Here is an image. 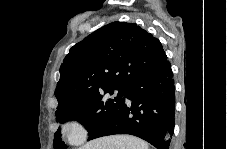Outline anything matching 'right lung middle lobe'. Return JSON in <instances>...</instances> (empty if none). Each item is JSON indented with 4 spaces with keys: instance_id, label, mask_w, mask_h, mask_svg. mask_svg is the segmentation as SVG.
Returning a JSON list of instances; mask_svg holds the SVG:
<instances>
[{
    "instance_id": "right-lung-middle-lobe-1",
    "label": "right lung middle lobe",
    "mask_w": 227,
    "mask_h": 149,
    "mask_svg": "<svg viewBox=\"0 0 227 149\" xmlns=\"http://www.w3.org/2000/svg\"><path fill=\"white\" fill-rule=\"evenodd\" d=\"M125 88L122 86H105L95 89L78 99L72 100L57 109L55 115L60 122L68 118H77L91 134L101 123L111 117L124 103ZM118 90V96L115 98L103 97L104 94H113ZM54 148L66 149L67 145L61 140L60 130L54 136Z\"/></svg>"
}]
</instances>
